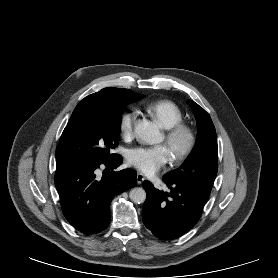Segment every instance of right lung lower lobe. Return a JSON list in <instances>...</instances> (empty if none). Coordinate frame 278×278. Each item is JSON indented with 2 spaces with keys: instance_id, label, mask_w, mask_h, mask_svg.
Returning <instances> with one entry per match:
<instances>
[{
  "instance_id": "right-lung-lower-lobe-1",
  "label": "right lung lower lobe",
  "mask_w": 278,
  "mask_h": 278,
  "mask_svg": "<svg viewBox=\"0 0 278 278\" xmlns=\"http://www.w3.org/2000/svg\"><path fill=\"white\" fill-rule=\"evenodd\" d=\"M122 157L96 163H84L56 169L55 185L62 211L68 222L85 234L104 230L110 221V203L114 196L136 184L137 173L132 169L109 171L122 163ZM105 168L101 179L96 169Z\"/></svg>"
}]
</instances>
